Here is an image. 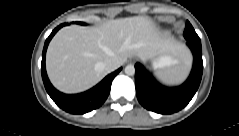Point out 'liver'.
I'll return each mask as SVG.
<instances>
[{
	"mask_svg": "<svg viewBox=\"0 0 239 136\" xmlns=\"http://www.w3.org/2000/svg\"><path fill=\"white\" fill-rule=\"evenodd\" d=\"M181 48L160 33L144 16L110 20L98 27L71 25L51 40L46 54L50 81L64 93H79L100 82L109 71L104 64L130 57L149 59L164 51Z\"/></svg>",
	"mask_w": 239,
	"mask_h": 136,
	"instance_id": "6515ba94",
	"label": "liver"
}]
</instances>
